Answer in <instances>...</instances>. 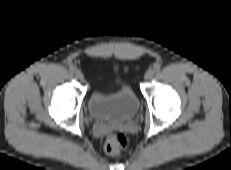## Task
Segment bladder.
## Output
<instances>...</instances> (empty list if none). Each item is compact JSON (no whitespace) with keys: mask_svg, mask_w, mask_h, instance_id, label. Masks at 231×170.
I'll return each mask as SVG.
<instances>
[{"mask_svg":"<svg viewBox=\"0 0 231 170\" xmlns=\"http://www.w3.org/2000/svg\"><path fill=\"white\" fill-rule=\"evenodd\" d=\"M138 109V97L125 83L110 92L96 88L88 99L89 113L100 124H116L129 120L136 115Z\"/></svg>","mask_w":231,"mask_h":170,"instance_id":"1","label":"bladder"}]
</instances>
